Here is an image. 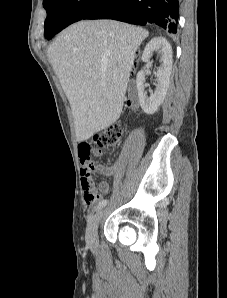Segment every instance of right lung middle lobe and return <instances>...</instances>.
<instances>
[{
	"label": "right lung middle lobe",
	"mask_w": 227,
	"mask_h": 298,
	"mask_svg": "<svg viewBox=\"0 0 227 298\" xmlns=\"http://www.w3.org/2000/svg\"><path fill=\"white\" fill-rule=\"evenodd\" d=\"M102 0H43L47 11L44 34L47 39L68 25L83 19Z\"/></svg>",
	"instance_id": "right-lung-middle-lobe-1"
}]
</instances>
